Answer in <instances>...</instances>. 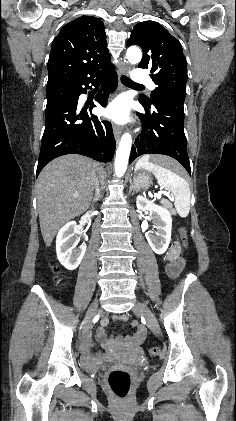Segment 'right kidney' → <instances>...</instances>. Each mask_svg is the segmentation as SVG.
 Returning a JSON list of instances; mask_svg holds the SVG:
<instances>
[{"label": "right kidney", "instance_id": "1", "mask_svg": "<svg viewBox=\"0 0 236 421\" xmlns=\"http://www.w3.org/2000/svg\"><path fill=\"white\" fill-rule=\"evenodd\" d=\"M80 231L75 223H67L60 229L56 239L57 259L68 271H75L79 267L86 251L87 245L83 243L79 249H75L80 241Z\"/></svg>", "mask_w": 236, "mask_h": 421}]
</instances>
